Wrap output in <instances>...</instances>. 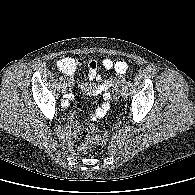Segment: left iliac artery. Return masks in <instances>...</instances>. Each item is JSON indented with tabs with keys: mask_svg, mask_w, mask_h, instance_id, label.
Listing matches in <instances>:
<instances>
[{
	"mask_svg": "<svg viewBox=\"0 0 195 195\" xmlns=\"http://www.w3.org/2000/svg\"><path fill=\"white\" fill-rule=\"evenodd\" d=\"M126 85L129 86V85H130V81H127V82H126Z\"/></svg>",
	"mask_w": 195,
	"mask_h": 195,
	"instance_id": "left-iliac-artery-1",
	"label": "left iliac artery"
}]
</instances>
